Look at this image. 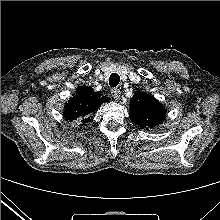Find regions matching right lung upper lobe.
I'll list each match as a JSON object with an SVG mask.
<instances>
[{"instance_id": "right-lung-upper-lobe-1", "label": "right lung upper lobe", "mask_w": 220, "mask_h": 220, "mask_svg": "<svg viewBox=\"0 0 220 220\" xmlns=\"http://www.w3.org/2000/svg\"><path fill=\"white\" fill-rule=\"evenodd\" d=\"M106 101L107 97L94 92L91 87L80 86L65 104L64 117L69 121L78 119L84 125L91 121L98 107Z\"/></svg>"}]
</instances>
